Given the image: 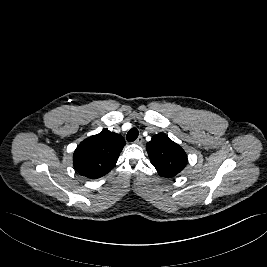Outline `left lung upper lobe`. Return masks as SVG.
Instances as JSON below:
<instances>
[{
  "instance_id": "5c2ea615",
  "label": "left lung upper lobe",
  "mask_w": 267,
  "mask_h": 267,
  "mask_svg": "<svg viewBox=\"0 0 267 267\" xmlns=\"http://www.w3.org/2000/svg\"><path fill=\"white\" fill-rule=\"evenodd\" d=\"M151 163L163 177H173L187 164L185 151L165 134L154 135L146 144Z\"/></svg>"
}]
</instances>
